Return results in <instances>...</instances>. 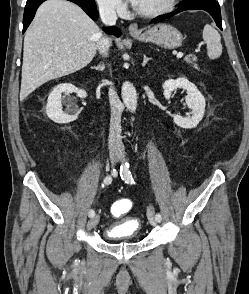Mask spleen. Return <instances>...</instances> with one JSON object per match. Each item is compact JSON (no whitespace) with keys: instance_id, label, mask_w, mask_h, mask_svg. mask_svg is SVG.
I'll list each match as a JSON object with an SVG mask.
<instances>
[{"instance_id":"spleen-1","label":"spleen","mask_w":249,"mask_h":294,"mask_svg":"<svg viewBox=\"0 0 249 294\" xmlns=\"http://www.w3.org/2000/svg\"><path fill=\"white\" fill-rule=\"evenodd\" d=\"M203 39L207 45V55L210 59H217L222 54L220 34L211 25H205Z\"/></svg>"}]
</instances>
